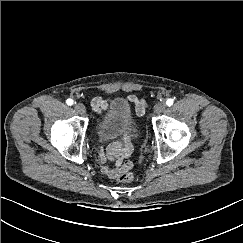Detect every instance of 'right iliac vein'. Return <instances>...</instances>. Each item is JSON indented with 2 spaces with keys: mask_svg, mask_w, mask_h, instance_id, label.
Wrapping results in <instances>:
<instances>
[{
  "mask_svg": "<svg viewBox=\"0 0 243 243\" xmlns=\"http://www.w3.org/2000/svg\"><path fill=\"white\" fill-rule=\"evenodd\" d=\"M74 109L80 115H84L86 112L85 106L82 103H75Z\"/></svg>",
  "mask_w": 243,
  "mask_h": 243,
  "instance_id": "63e3f726",
  "label": "right iliac vein"
}]
</instances>
